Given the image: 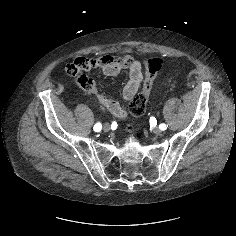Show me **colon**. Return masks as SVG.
Returning a JSON list of instances; mask_svg holds the SVG:
<instances>
[{"label":"colon","instance_id":"colon-1","mask_svg":"<svg viewBox=\"0 0 236 236\" xmlns=\"http://www.w3.org/2000/svg\"><path fill=\"white\" fill-rule=\"evenodd\" d=\"M81 60L73 61L66 66V72L69 74V67L73 63H78ZM145 71H144V81L142 91L133 99L130 104L131 113L139 117L144 114L146 104L148 101V95L153 86L154 80L162 67V60L159 57H151L145 60ZM130 133H133L134 130L132 127L128 128Z\"/></svg>","mask_w":236,"mask_h":236}]
</instances>
